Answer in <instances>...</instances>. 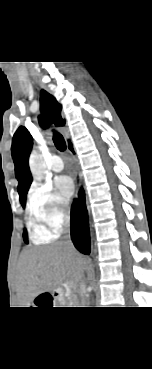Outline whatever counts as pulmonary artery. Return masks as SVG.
I'll return each mask as SVG.
<instances>
[{
  "label": "pulmonary artery",
  "mask_w": 152,
  "mask_h": 369,
  "mask_svg": "<svg viewBox=\"0 0 152 369\" xmlns=\"http://www.w3.org/2000/svg\"><path fill=\"white\" fill-rule=\"evenodd\" d=\"M51 167L55 172H60L64 169V163L60 156L58 155L52 156Z\"/></svg>",
  "instance_id": "obj_1"
}]
</instances>
